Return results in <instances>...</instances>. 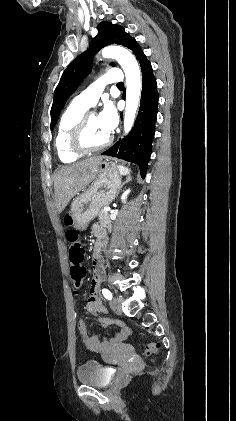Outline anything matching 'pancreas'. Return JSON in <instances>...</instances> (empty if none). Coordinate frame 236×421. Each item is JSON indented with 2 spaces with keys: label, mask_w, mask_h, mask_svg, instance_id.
I'll list each match as a JSON object with an SVG mask.
<instances>
[{
  "label": "pancreas",
  "mask_w": 236,
  "mask_h": 421,
  "mask_svg": "<svg viewBox=\"0 0 236 421\" xmlns=\"http://www.w3.org/2000/svg\"><path fill=\"white\" fill-rule=\"evenodd\" d=\"M99 223L101 227H106V229H109V231H111L112 225H111L109 213L105 211L104 206L103 208H101V211L99 213Z\"/></svg>",
  "instance_id": "obj_1"
}]
</instances>
